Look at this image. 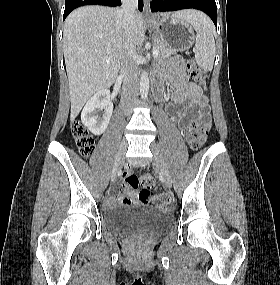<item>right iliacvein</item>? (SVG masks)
<instances>
[{
	"mask_svg": "<svg viewBox=\"0 0 280 285\" xmlns=\"http://www.w3.org/2000/svg\"><path fill=\"white\" fill-rule=\"evenodd\" d=\"M126 150H127V143L125 140H123L120 144L119 151H118V154H117L114 166H113V171H112V176H111L112 181L116 179L117 174L123 165Z\"/></svg>",
	"mask_w": 280,
	"mask_h": 285,
	"instance_id": "obj_1",
	"label": "right iliac vein"
}]
</instances>
